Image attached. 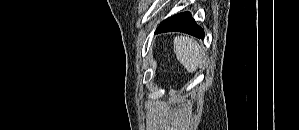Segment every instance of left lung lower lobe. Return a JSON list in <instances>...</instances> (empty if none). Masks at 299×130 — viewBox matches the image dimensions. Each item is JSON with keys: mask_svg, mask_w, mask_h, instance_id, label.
I'll return each mask as SVG.
<instances>
[{"mask_svg": "<svg viewBox=\"0 0 299 130\" xmlns=\"http://www.w3.org/2000/svg\"><path fill=\"white\" fill-rule=\"evenodd\" d=\"M184 32L197 38H204L203 29L196 24L189 12L180 13L164 20L155 33Z\"/></svg>", "mask_w": 299, "mask_h": 130, "instance_id": "1", "label": "left lung lower lobe"}]
</instances>
